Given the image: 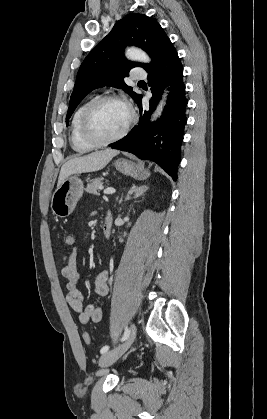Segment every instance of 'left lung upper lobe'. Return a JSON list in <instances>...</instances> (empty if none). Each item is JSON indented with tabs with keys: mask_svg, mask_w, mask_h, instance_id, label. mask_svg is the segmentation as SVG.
<instances>
[{
	"mask_svg": "<svg viewBox=\"0 0 267 419\" xmlns=\"http://www.w3.org/2000/svg\"><path fill=\"white\" fill-rule=\"evenodd\" d=\"M169 41L163 28L151 17L128 14L119 20L81 64L70 97L66 123L84 97L99 87L121 88L137 102L141 95L124 82V77L135 66L149 71L156 65ZM126 45H135L145 50L152 58V64L128 61L124 57Z\"/></svg>",
	"mask_w": 267,
	"mask_h": 419,
	"instance_id": "left-lung-upper-lobe-1",
	"label": "left lung upper lobe"
}]
</instances>
